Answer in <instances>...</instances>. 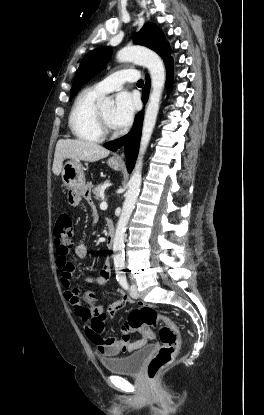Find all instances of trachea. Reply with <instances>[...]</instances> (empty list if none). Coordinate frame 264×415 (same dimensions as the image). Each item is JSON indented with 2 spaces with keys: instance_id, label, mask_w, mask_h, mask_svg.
Here are the masks:
<instances>
[{
  "instance_id": "trachea-1",
  "label": "trachea",
  "mask_w": 264,
  "mask_h": 415,
  "mask_svg": "<svg viewBox=\"0 0 264 415\" xmlns=\"http://www.w3.org/2000/svg\"><path fill=\"white\" fill-rule=\"evenodd\" d=\"M143 83H144V82H143V80H139V81L137 82V85H138V86H143Z\"/></svg>"
}]
</instances>
